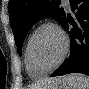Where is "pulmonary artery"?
Here are the masks:
<instances>
[{
	"label": "pulmonary artery",
	"instance_id": "1",
	"mask_svg": "<svg viewBox=\"0 0 89 89\" xmlns=\"http://www.w3.org/2000/svg\"><path fill=\"white\" fill-rule=\"evenodd\" d=\"M63 2L66 4V6H69V4H68L69 1L68 0H64Z\"/></svg>",
	"mask_w": 89,
	"mask_h": 89
}]
</instances>
